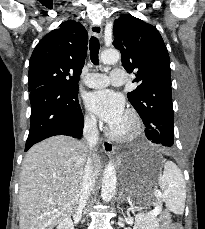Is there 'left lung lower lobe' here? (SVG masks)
Returning <instances> with one entry per match:
<instances>
[{"label": "left lung lower lobe", "mask_w": 205, "mask_h": 229, "mask_svg": "<svg viewBox=\"0 0 205 229\" xmlns=\"http://www.w3.org/2000/svg\"><path fill=\"white\" fill-rule=\"evenodd\" d=\"M146 137L153 143H165L164 141L169 140L168 134L160 126H154L152 133L147 134Z\"/></svg>", "instance_id": "1"}]
</instances>
